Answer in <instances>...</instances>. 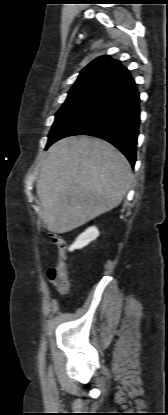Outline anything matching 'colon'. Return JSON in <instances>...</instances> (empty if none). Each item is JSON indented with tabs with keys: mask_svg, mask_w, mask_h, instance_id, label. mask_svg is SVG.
I'll use <instances>...</instances> for the list:
<instances>
[{
	"mask_svg": "<svg viewBox=\"0 0 168 415\" xmlns=\"http://www.w3.org/2000/svg\"><path fill=\"white\" fill-rule=\"evenodd\" d=\"M53 244L57 247L59 253V262L57 266L47 271V279L61 292L69 289L70 280L67 270V254L65 249L64 238L57 233L50 234Z\"/></svg>",
	"mask_w": 168,
	"mask_h": 415,
	"instance_id": "obj_1",
	"label": "colon"
}]
</instances>
